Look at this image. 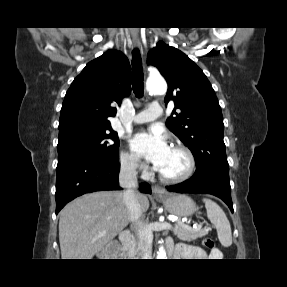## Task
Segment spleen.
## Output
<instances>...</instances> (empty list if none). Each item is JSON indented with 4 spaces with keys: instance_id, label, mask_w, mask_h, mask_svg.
<instances>
[{
    "instance_id": "1",
    "label": "spleen",
    "mask_w": 287,
    "mask_h": 287,
    "mask_svg": "<svg viewBox=\"0 0 287 287\" xmlns=\"http://www.w3.org/2000/svg\"><path fill=\"white\" fill-rule=\"evenodd\" d=\"M203 202L205 203V207L207 210V217L217 230L220 243L224 247L231 246V226L226 214L220 208V206L211 199L204 198Z\"/></svg>"
}]
</instances>
